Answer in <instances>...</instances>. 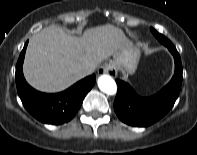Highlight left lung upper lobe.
Segmentation results:
<instances>
[{
	"label": "left lung upper lobe",
	"mask_w": 197,
	"mask_h": 155,
	"mask_svg": "<svg viewBox=\"0 0 197 155\" xmlns=\"http://www.w3.org/2000/svg\"><path fill=\"white\" fill-rule=\"evenodd\" d=\"M153 35L165 46L172 44L165 36L158 33L154 28H151Z\"/></svg>",
	"instance_id": "obj_1"
}]
</instances>
